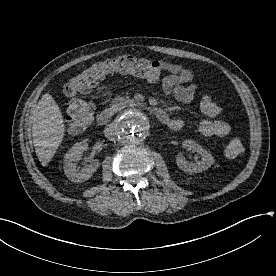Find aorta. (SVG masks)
<instances>
[{
    "label": "aorta",
    "mask_w": 276,
    "mask_h": 276,
    "mask_svg": "<svg viewBox=\"0 0 276 276\" xmlns=\"http://www.w3.org/2000/svg\"><path fill=\"white\" fill-rule=\"evenodd\" d=\"M147 130L146 116L137 109H131L120 117L117 125V136L121 143L134 145L145 139Z\"/></svg>",
    "instance_id": "obj_1"
}]
</instances>
